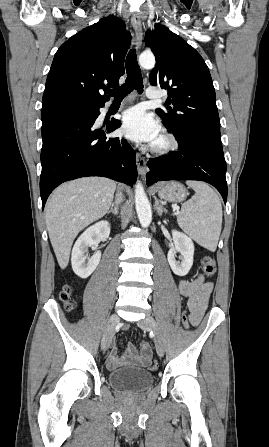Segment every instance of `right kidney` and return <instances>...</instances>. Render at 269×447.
<instances>
[{
    "label": "right kidney",
    "instance_id": "ca27d5eb",
    "mask_svg": "<svg viewBox=\"0 0 269 447\" xmlns=\"http://www.w3.org/2000/svg\"><path fill=\"white\" fill-rule=\"evenodd\" d=\"M109 222H97V224L87 227L78 239H76L71 255L72 269L79 277H89L96 269L100 259L101 251H96L92 257H86L85 251L91 245H97L104 237H109Z\"/></svg>",
    "mask_w": 269,
    "mask_h": 447
}]
</instances>
